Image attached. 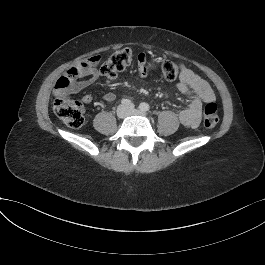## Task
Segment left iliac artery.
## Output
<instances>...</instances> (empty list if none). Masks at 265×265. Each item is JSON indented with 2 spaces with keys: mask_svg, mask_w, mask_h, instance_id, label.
Segmentation results:
<instances>
[{
  "mask_svg": "<svg viewBox=\"0 0 265 265\" xmlns=\"http://www.w3.org/2000/svg\"><path fill=\"white\" fill-rule=\"evenodd\" d=\"M139 109H140L141 111H149L150 106H149L148 103L143 102V103H141V104L139 105Z\"/></svg>",
  "mask_w": 265,
  "mask_h": 265,
  "instance_id": "44dca946",
  "label": "left iliac artery"
}]
</instances>
